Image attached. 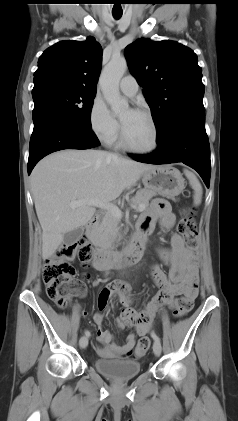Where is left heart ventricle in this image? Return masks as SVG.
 <instances>
[{"instance_id": "obj_1", "label": "left heart ventricle", "mask_w": 238, "mask_h": 421, "mask_svg": "<svg viewBox=\"0 0 238 421\" xmlns=\"http://www.w3.org/2000/svg\"><path fill=\"white\" fill-rule=\"evenodd\" d=\"M125 135L129 143L139 149H147L153 144V128L148 118L132 110L120 114Z\"/></svg>"}]
</instances>
